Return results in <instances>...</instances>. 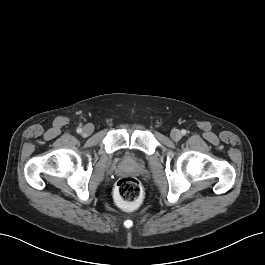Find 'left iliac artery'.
Wrapping results in <instances>:
<instances>
[{
	"mask_svg": "<svg viewBox=\"0 0 265 265\" xmlns=\"http://www.w3.org/2000/svg\"><path fill=\"white\" fill-rule=\"evenodd\" d=\"M181 133H182V135H185V134H186V130L183 129V130L181 131Z\"/></svg>",
	"mask_w": 265,
	"mask_h": 265,
	"instance_id": "left-iliac-artery-1",
	"label": "left iliac artery"
}]
</instances>
